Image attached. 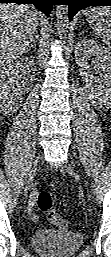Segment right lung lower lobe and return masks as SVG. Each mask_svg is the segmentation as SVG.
I'll use <instances>...</instances> for the list:
<instances>
[{"label":"right lung lower lobe","instance_id":"right-lung-lower-lobe-1","mask_svg":"<svg viewBox=\"0 0 111 257\" xmlns=\"http://www.w3.org/2000/svg\"><path fill=\"white\" fill-rule=\"evenodd\" d=\"M0 3L33 4L36 8L49 16L53 5V0H0Z\"/></svg>","mask_w":111,"mask_h":257}]
</instances>
